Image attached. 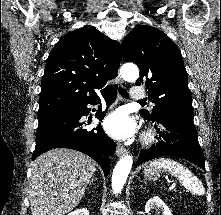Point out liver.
Here are the masks:
<instances>
[{
  "label": "liver",
  "instance_id": "obj_1",
  "mask_svg": "<svg viewBox=\"0 0 221 215\" xmlns=\"http://www.w3.org/2000/svg\"><path fill=\"white\" fill-rule=\"evenodd\" d=\"M97 163L67 148L52 149L32 163L29 200L32 215H65L80 203Z\"/></svg>",
  "mask_w": 221,
  "mask_h": 215
}]
</instances>
